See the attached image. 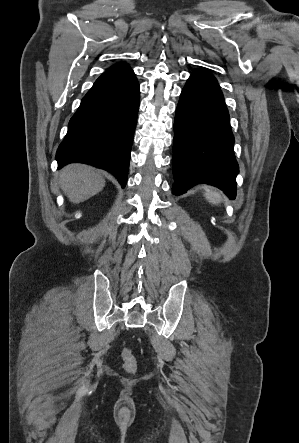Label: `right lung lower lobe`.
Wrapping results in <instances>:
<instances>
[{
	"label": "right lung lower lobe",
	"instance_id": "98d812e1",
	"mask_svg": "<svg viewBox=\"0 0 299 443\" xmlns=\"http://www.w3.org/2000/svg\"><path fill=\"white\" fill-rule=\"evenodd\" d=\"M140 91L130 67L108 69L94 83L69 122L58 147V168L92 164L112 173L125 187Z\"/></svg>",
	"mask_w": 299,
	"mask_h": 443
}]
</instances>
